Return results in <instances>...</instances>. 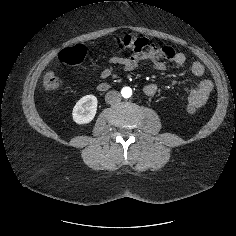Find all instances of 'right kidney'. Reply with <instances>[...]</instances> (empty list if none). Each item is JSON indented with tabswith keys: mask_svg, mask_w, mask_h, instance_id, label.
I'll list each match as a JSON object with an SVG mask.
<instances>
[{
	"mask_svg": "<svg viewBox=\"0 0 236 236\" xmlns=\"http://www.w3.org/2000/svg\"><path fill=\"white\" fill-rule=\"evenodd\" d=\"M97 103V98L94 95L82 97L73 108V121L79 125L91 122L96 115Z\"/></svg>",
	"mask_w": 236,
	"mask_h": 236,
	"instance_id": "right-kidney-1",
	"label": "right kidney"
}]
</instances>
